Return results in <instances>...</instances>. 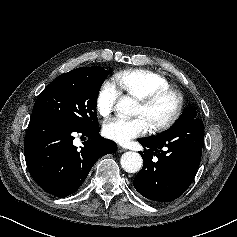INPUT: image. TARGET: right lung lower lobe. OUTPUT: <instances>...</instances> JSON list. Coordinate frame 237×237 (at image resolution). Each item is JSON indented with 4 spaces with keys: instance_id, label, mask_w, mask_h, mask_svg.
Wrapping results in <instances>:
<instances>
[{
    "instance_id": "obj_1",
    "label": "right lung lower lobe",
    "mask_w": 237,
    "mask_h": 237,
    "mask_svg": "<svg viewBox=\"0 0 237 237\" xmlns=\"http://www.w3.org/2000/svg\"><path fill=\"white\" fill-rule=\"evenodd\" d=\"M98 132L99 124L77 128L56 120L31 117L24 153L34 181L60 198L74 193L95 162L117 150L114 142L103 139ZM76 133L88 138L80 149L73 144Z\"/></svg>"
}]
</instances>
